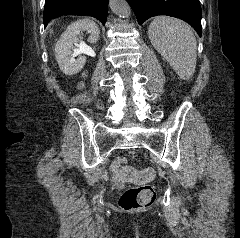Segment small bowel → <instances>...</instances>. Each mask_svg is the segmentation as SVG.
Listing matches in <instances>:
<instances>
[{
	"mask_svg": "<svg viewBox=\"0 0 240 238\" xmlns=\"http://www.w3.org/2000/svg\"><path fill=\"white\" fill-rule=\"evenodd\" d=\"M126 162L127 160L125 158L119 157L111 165L112 178L113 180L117 181L115 182V187H128V182H121L122 179L120 176V167Z\"/></svg>",
	"mask_w": 240,
	"mask_h": 238,
	"instance_id": "1",
	"label": "small bowel"
}]
</instances>
